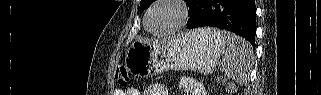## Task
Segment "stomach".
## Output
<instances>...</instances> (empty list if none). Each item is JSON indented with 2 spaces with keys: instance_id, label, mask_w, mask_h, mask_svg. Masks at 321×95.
I'll list each match as a JSON object with an SVG mask.
<instances>
[{
  "instance_id": "0dacf381",
  "label": "stomach",
  "mask_w": 321,
  "mask_h": 95,
  "mask_svg": "<svg viewBox=\"0 0 321 95\" xmlns=\"http://www.w3.org/2000/svg\"><path fill=\"white\" fill-rule=\"evenodd\" d=\"M223 50L221 42L200 30L162 41H134L127 49L125 66L136 76L147 77L167 70L211 73Z\"/></svg>"
}]
</instances>
